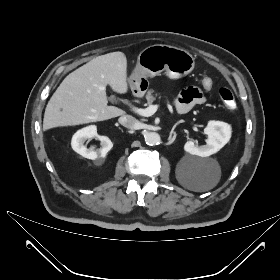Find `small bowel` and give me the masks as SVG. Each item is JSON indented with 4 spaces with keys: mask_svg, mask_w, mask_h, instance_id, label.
<instances>
[{
    "mask_svg": "<svg viewBox=\"0 0 280 280\" xmlns=\"http://www.w3.org/2000/svg\"><path fill=\"white\" fill-rule=\"evenodd\" d=\"M204 101L205 96L203 93L197 88L190 87L179 95L176 106L179 112L185 113Z\"/></svg>",
    "mask_w": 280,
    "mask_h": 280,
    "instance_id": "obj_1",
    "label": "small bowel"
}]
</instances>
